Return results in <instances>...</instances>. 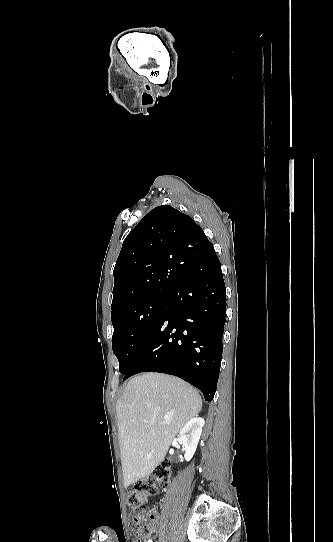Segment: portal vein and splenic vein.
Returning <instances> with one entry per match:
<instances>
[{"label": "portal vein and splenic vein", "mask_w": 333, "mask_h": 542, "mask_svg": "<svg viewBox=\"0 0 333 542\" xmlns=\"http://www.w3.org/2000/svg\"><path fill=\"white\" fill-rule=\"evenodd\" d=\"M163 424H169V422H163Z\"/></svg>", "instance_id": "18ae733b"}]
</instances>
